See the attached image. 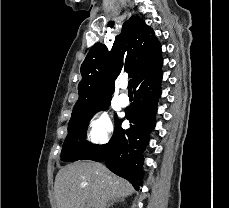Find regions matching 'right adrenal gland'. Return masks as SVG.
Segmentation results:
<instances>
[{
    "label": "right adrenal gland",
    "mask_w": 229,
    "mask_h": 208,
    "mask_svg": "<svg viewBox=\"0 0 229 208\" xmlns=\"http://www.w3.org/2000/svg\"><path fill=\"white\" fill-rule=\"evenodd\" d=\"M115 202H124L123 198H120V200H118V198H114V200H109V202H107V208H110V206H114Z\"/></svg>",
    "instance_id": "2a0ac1e0"
}]
</instances>
